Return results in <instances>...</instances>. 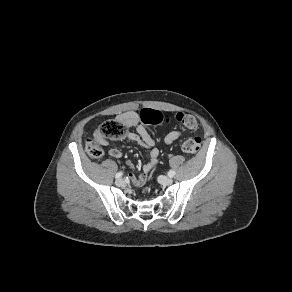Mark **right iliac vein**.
Returning a JSON list of instances; mask_svg holds the SVG:
<instances>
[{
    "label": "right iliac vein",
    "instance_id": "1",
    "mask_svg": "<svg viewBox=\"0 0 292 292\" xmlns=\"http://www.w3.org/2000/svg\"><path fill=\"white\" fill-rule=\"evenodd\" d=\"M115 184H116L117 186H119V187H122V186H124L125 181H124V179L119 178V179H117V180L115 181Z\"/></svg>",
    "mask_w": 292,
    "mask_h": 292
}]
</instances>
